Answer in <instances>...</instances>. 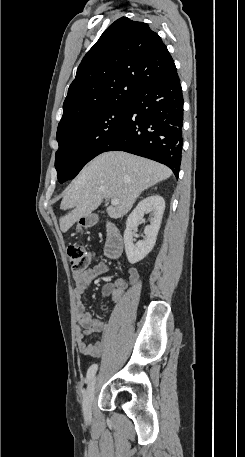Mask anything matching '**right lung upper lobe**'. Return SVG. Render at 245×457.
<instances>
[{
  "instance_id": "obj_1",
  "label": "right lung upper lobe",
  "mask_w": 245,
  "mask_h": 457,
  "mask_svg": "<svg viewBox=\"0 0 245 457\" xmlns=\"http://www.w3.org/2000/svg\"><path fill=\"white\" fill-rule=\"evenodd\" d=\"M174 71V61L159 35L146 23L122 17L81 61L59 125L111 102L131 100L149 81Z\"/></svg>"
}]
</instances>
